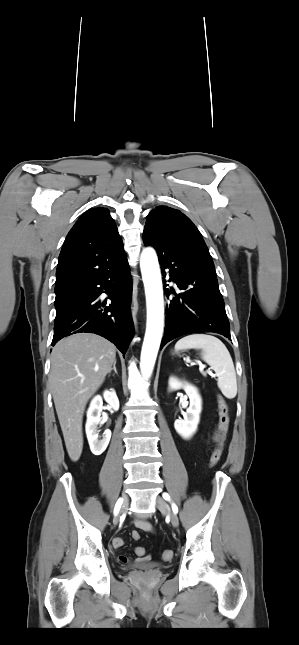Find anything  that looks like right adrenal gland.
<instances>
[{"instance_id":"right-adrenal-gland-1","label":"right adrenal gland","mask_w":299,"mask_h":645,"mask_svg":"<svg viewBox=\"0 0 299 645\" xmlns=\"http://www.w3.org/2000/svg\"><path fill=\"white\" fill-rule=\"evenodd\" d=\"M112 370H114L115 374H118V372H117V370H116V361H115V362H114V364H113V368L109 371V376L111 375V371H112Z\"/></svg>"}]
</instances>
